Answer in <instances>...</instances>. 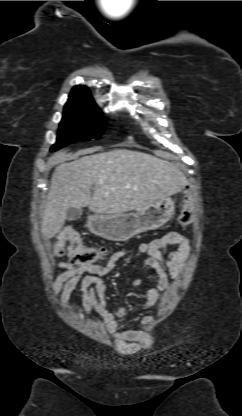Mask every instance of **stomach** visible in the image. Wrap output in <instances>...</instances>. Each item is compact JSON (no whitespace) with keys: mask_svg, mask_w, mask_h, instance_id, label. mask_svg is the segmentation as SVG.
Segmentation results:
<instances>
[{"mask_svg":"<svg viewBox=\"0 0 242 416\" xmlns=\"http://www.w3.org/2000/svg\"><path fill=\"white\" fill-rule=\"evenodd\" d=\"M174 212L175 202L166 197L136 213L90 215L87 227L98 237L110 241H126L140 233L160 228L171 219Z\"/></svg>","mask_w":242,"mask_h":416,"instance_id":"stomach-1","label":"stomach"}]
</instances>
